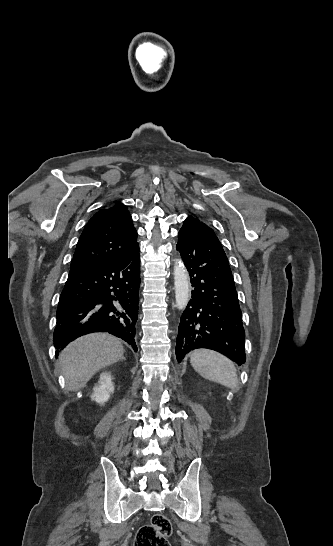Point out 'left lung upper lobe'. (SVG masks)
Instances as JSON below:
<instances>
[{
    "label": "left lung upper lobe",
    "instance_id": "left-lung-upper-lobe-1",
    "mask_svg": "<svg viewBox=\"0 0 333 546\" xmlns=\"http://www.w3.org/2000/svg\"><path fill=\"white\" fill-rule=\"evenodd\" d=\"M187 219L196 220L198 223H200V224H202L203 226H205L206 229H208L214 236H216L215 233L213 232V230H212L211 228H209L206 224L200 222L197 218L192 217V216H189Z\"/></svg>",
    "mask_w": 333,
    "mask_h": 546
}]
</instances>
